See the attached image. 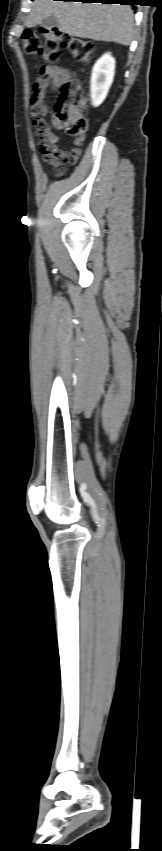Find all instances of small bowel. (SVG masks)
I'll return each mask as SVG.
<instances>
[{
  "label": "small bowel",
  "instance_id": "obj_1",
  "mask_svg": "<svg viewBox=\"0 0 162 851\" xmlns=\"http://www.w3.org/2000/svg\"><path fill=\"white\" fill-rule=\"evenodd\" d=\"M69 79L70 73L66 68L50 65L43 66L41 68V76L34 83L31 97V114L35 118L33 121L35 135L40 138L39 147L42 158L47 164L56 168L68 159L73 148L65 151L57 147V136L53 134L45 117L51 115L54 126L58 129H61V126L57 123L50 107L45 103V97L46 91L50 86L55 89L62 88Z\"/></svg>",
  "mask_w": 162,
  "mask_h": 851
}]
</instances>
